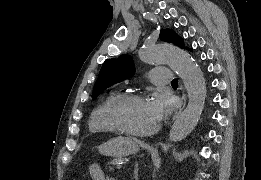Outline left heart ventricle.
Masks as SVG:
<instances>
[{"mask_svg":"<svg viewBox=\"0 0 261 180\" xmlns=\"http://www.w3.org/2000/svg\"><path fill=\"white\" fill-rule=\"evenodd\" d=\"M113 117L125 135L140 137L156 126L159 114L150 100L143 98L118 107L114 110Z\"/></svg>","mask_w":261,"mask_h":180,"instance_id":"obj_1","label":"left heart ventricle"}]
</instances>
